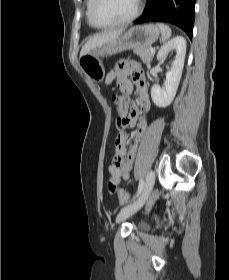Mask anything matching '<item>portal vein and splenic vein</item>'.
Here are the masks:
<instances>
[{
  "label": "portal vein and splenic vein",
  "instance_id": "portal-vein-and-splenic-vein-1",
  "mask_svg": "<svg viewBox=\"0 0 229 280\" xmlns=\"http://www.w3.org/2000/svg\"><path fill=\"white\" fill-rule=\"evenodd\" d=\"M150 52L151 53H155V49L154 48H150Z\"/></svg>",
  "mask_w": 229,
  "mask_h": 280
}]
</instances>
